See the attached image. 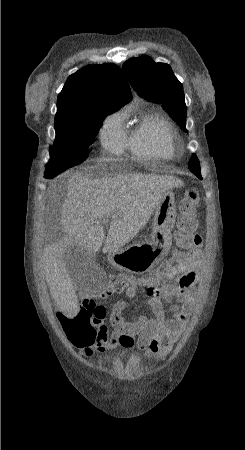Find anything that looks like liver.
<instances>
[{"mask_svg":"<svg viewBox=\"0 0 245 450\" xmlns=\"http://www.w3.org/2000/svg\"><path fill=\"white\" fill-rule=\"evenodd\" d=\"M183 186L169 175L121 173L115 175L73 174L61 209L65 236L45 248L42 268L52 298L59 309L73 317L79 303L64 260L70 246L89 253L102 247L107 253L121 249L142 230L165 192ZM111 218L107 237L102 222Z\"/></svg>","mask_w":245,"mask_h":450,"instance_id":"obj_1","label":"liver"}]
</instances>
